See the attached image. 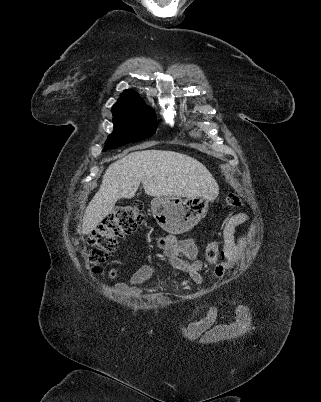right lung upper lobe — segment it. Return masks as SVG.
<instances>
[{
    "label": "right lung upper lobe",
    "instance_id": "1",
    "mask_svg": "<svg viewBox=\"0 0 321 402\" xmlns=\"http://www.w3.org/2000/svg\"><path fill=\"white\" fill-rule=\"evenodd\" d=\"M117 105L135 106L148 108L140 98V96L133 90H125L119 98Z\"/></svg>",
    "mask_w": 321,
    "mask_h": 402
}]
</instances>
